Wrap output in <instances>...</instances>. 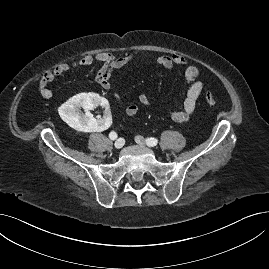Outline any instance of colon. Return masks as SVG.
Wrapping results in <instances>:
<instances>
[{
  "label": "colon",
  "instance_id": "5ec220e1",
  "mask_svg": "<svg viewBox=\"0 0 269 269\" xmlns=\"http://www.w3.org/2000/svg\"><path fill=\"white\" fill-rule=\"evenodd\" d=\"M203 97H204V101L208 105H215L217 103L216 95H215V93H214V91L212 89L205 90L204 94H203Z\"/></svg>",
  "mask_w": 269,
  "mask_h": 269
}]
</instances>
